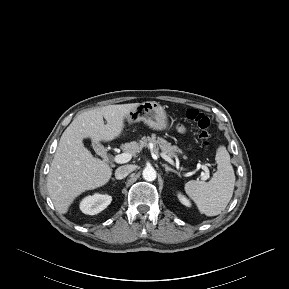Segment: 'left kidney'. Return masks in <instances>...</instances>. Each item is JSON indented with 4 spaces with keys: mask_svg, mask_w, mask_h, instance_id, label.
<instances>
[{
    "mask_svg": "<svg viewBox=\"0 0 289 289\" xmlns=\"http://www.w3.org/2000/svg\"><path fill=\"white\" fill-rule=\"evenodd\" d=\"M178 198L183 205L187 207L191 206L190 201L186 197H184L181 193H178Z\"/></svg>",
    "mask_w": 289,
    "mask_h": 289,
    "instance_id": "left-kidney-1",
    "label": "left kidney"
}]
</instances>
